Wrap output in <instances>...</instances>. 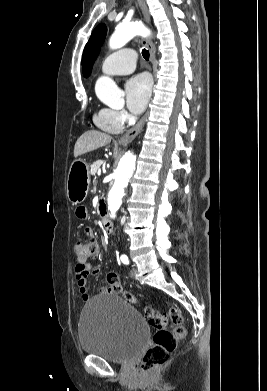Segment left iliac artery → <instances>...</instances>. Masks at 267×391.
Segmentation results:
<instances>
[{
  "instance_id": "1",
  "label": "left iliac artery",
  "mask_w": 267,
  "mask_h": 391,
  "mask_svg": "<svg viewBox=\"0 0 267 391\" xmlns=\"http://www.w3.org/2000/svg\"><path fill=\"white\" fill-rule=\"evenodd\" d=\"M121 261L124 263V264H129V260H128V257L126 255H122L121 256Z\"/></svg>"
}]
</instances>
